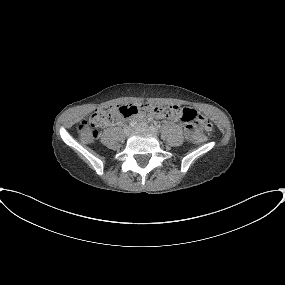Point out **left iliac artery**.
Masks as SVG:
<instances>
[{
  "label": "left iliac artery",
  "instance_id": "left-iliac-artery-1",
  "mask_svg": "<svg viewBox=\"0 0 285 285\" xmlns=\"http://www.w3.org/2000/svg\"><path fill=\"white\" fill-rule=\"evenodd\" d=\"M149 128L153 132H158V129L156 127H154L153 125H150Z\"/></svg>",
  "mask_w": 285,
  "mask_h": 285
}]
</instances>
